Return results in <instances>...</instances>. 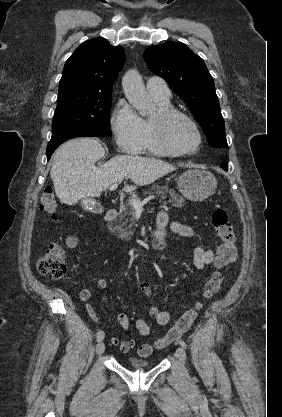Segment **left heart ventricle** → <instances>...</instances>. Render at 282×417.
Listing matches in <instances>:
<instances>
[{"label": "left heart ventricle", "mask_w": 282, "mask_h": 417, "mask_svg": "<svg viewBox=\"0 0 282 417\" xmlns=\"http://www.w3.org/2000/svg\"><path fill=\"white\" fill-rule=\"evenodd\" d=\"M157 111L151 118L156 119ZM166 135L169 141L181 148H193L197 138L193 131L181 119H173L166 126Z\"/></svg>", "instance_id": "1"}]
</instances>
